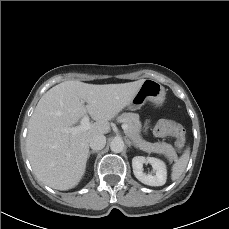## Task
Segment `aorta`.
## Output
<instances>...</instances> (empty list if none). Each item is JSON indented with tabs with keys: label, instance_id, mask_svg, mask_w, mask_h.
Returning <instances> with one entry per match:
<instances>
[{
	"label": "aorta",
	"instance_id": "1",
	"mask_svg": "<svg viewBox=\"0 0 229 229\" xmlns=\"http://www.w3.org/2000/svg\"><path fill=\"white\" fill-rule=\"evenodd\" d=\"M124 146V141L121 138H114L110 143V149L114 153L122 152Z\"/></svg>",
	"mask_w": 229,
	"mask_h": 229
}]
</instances>
